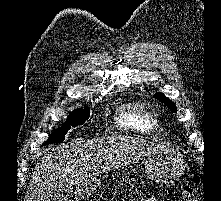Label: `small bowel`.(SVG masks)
I'll return each instance as SVG.
<instances>
[{
  "label": "small bowel",
  "mask_w": 221,
  "mask_h": 201,
  "mask_svg": "<svg viewBox=\"0 0 221 201\" xmlns=\"http://www.w3.org/2000/svg\"><path fill=\"white\" fill-rule=\"evenodd\" d=\"M139 201H158V200L153 199V198L144 197V198H141Z\"/></svg>",
  "instance_id": "1"
}]
</instances>
